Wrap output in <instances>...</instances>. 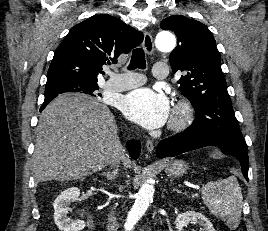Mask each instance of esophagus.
I'll use <instances>...</instances> for the list:
<instances>
[{"label": "esophagus", "mask_w": 268, "mask_h": 231, "mask_svg": "<svg viewBox=\"0 0 268 231\" xmlns=\"http://www.w3.org/2000/svg\"><path fill=\"white\" fill-rule=\"evenodd\" d=\"M142 47L145 50L147 54H152L154 50V44H153V38L150 35V33L145 32L144 37H143V42H142ZM145 148L147 152H153L154 150V143L152 140H147L145 144Z\"/></svg>", "instance_id": "1"}]
</instances>
